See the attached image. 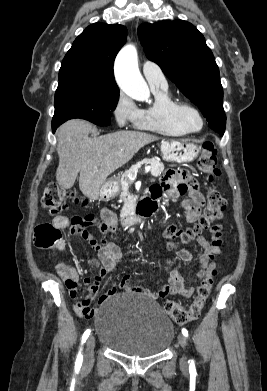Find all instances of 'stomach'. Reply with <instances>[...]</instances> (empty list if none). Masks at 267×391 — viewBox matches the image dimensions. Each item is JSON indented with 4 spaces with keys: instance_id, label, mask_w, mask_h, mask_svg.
Segmentation results:
<instances>
[{
    "instance_id": "0dacf381",
    "label": "stomach",
    "mask_w": 267,
    "mask_h": 391,
    "mask_svg": "<svg viewBox=\"0 0 267 391\" xmlns=\"http://www.w3.org/2000/svg\"><path fill=\"white\" fill-rule=\"evenodd\" d=\"M199 147L190 142H163L162 157L165 161L187 163L193 161L199 154ZM119 192V182L116 178L105 181L99 189L98 198L108 200Z\"/></svg>"
}]
</instances>
